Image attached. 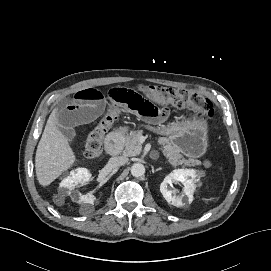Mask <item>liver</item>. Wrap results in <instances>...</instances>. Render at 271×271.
I'll return each mask as SVG.
<instances>
[{"instance_id": "liver-1", "label": "liver", "mask_w": 271, "mask_h": 271, "mask_svg": "<svg viewBox=\"0 0 271 271\" xmlns=\"http://www.w3.org/2000/svg\"><path fill=\"white\" fill-rule=\"evenodd\" d=\"M58 108L50 114L37 146L35 169L40 185L48 186L75 162L76 156L68 140L57 126Z\"/></svg>"}]
</instances>
